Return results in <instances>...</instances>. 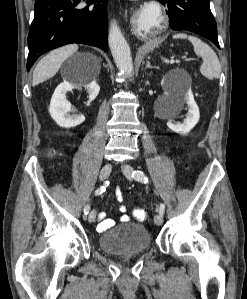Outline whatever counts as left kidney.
Segmentation results:
<instances>
[{
    "label": "left kidney",
    "instance_id": "5707ae66",
    "mask_svg": "<svg viewBox=\"0 0 247 299\" xmlns=\"http://www.w3.org/2000/svg\"><path fill=\"white\" fill-rule=\"evenodd\" d=\"M188 106V113L186 119L182 124H173L170 121L167 122V126L175 133L186 135L193 127L198 123L200 114L199 108L194 100L191 88H187L184 91L170 95V101L167 105L166 111L169 116L176 115L182 109L184 104Z\"/></svg>",
    "mask_w": 247,
    "mask_h": 299
}]
</instances>
